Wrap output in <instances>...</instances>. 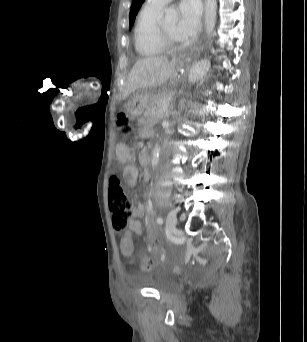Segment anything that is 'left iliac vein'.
<instances>
[{
    "label": "left iliac vein",
    "instance_id": "obj_1",
    "mask_svg": "<svg viewBox=\"0 0 307 342\" xmlns=\"http://www.w3.org/2000/svg\"><path fill=\"white\" fill-rule=\"evenodd\" d=\"M166 226L167 229L171 232L174 233L176 231V226H177V217L175 212H169L167 217H166Z\"/></svg>",
    "mask_w": 307,
    "mask_h": 342
}]
</instances>
